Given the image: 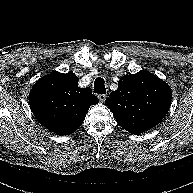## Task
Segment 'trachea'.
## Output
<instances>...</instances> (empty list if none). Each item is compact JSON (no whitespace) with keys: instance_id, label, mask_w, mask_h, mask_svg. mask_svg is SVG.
Listing matches in <instances>:
<instances>
[{"instance_id":"1","label":"trachea","mask_w":193,"mask_h":193,"mask_svg":"<svg viewBox=\"0 0 193 193\" xmlns=\"http://www.w3.org/2000/svg\"><path fill=\"white\" fill-rule=\"evenodd\" d=\"M94 93L106 94L105 81L99 77L94 82Z\"/></svg>"}]
</instances>
